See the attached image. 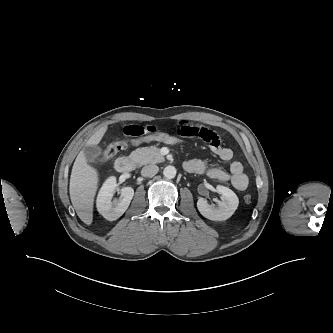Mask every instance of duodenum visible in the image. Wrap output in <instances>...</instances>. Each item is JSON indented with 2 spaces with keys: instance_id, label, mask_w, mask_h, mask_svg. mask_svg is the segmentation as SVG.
<instances>
[{
  "instance_id": "obj_1",
  "label": "duodenum",
  "mask_w": 333,
  "mask_h": 333,
  "mask_svg": "<svg viewBox=\"0 0 333 333\" xmlns=\"http://www.w3.org/2000/svg\"><path fill=\"white\" fill-rule=\"evenodd\" d=\"M135 160L130 157H120L115 161V168L118 172L128 173L135 167Z\"/></svg>"
}]
</instances>
